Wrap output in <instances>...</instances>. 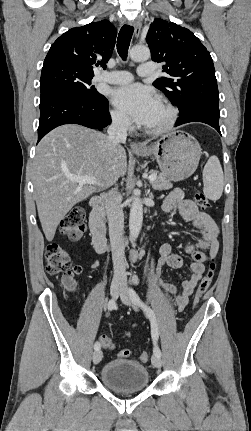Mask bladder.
Instances as JSON below:
<instances>
[{"instance_id": "bladder-1", "label": "bladder", "mask_w": 251, "mask_h": 431, "mask_svg": "<svg viewBox=\"0 0 251 431\" xmlns=\"http://www.w3.org/2000/svg\"><path fill=\"white\" fill-rule=\"evenodd\" d=\"M101 382L118 393H133L145 389L150 380L146 366L127 359L106 363L100 371Z\"/></svg>"}]
</instances>
